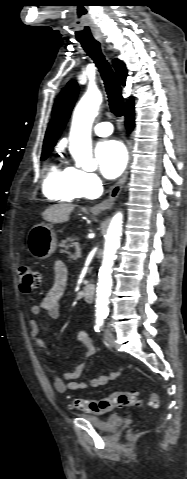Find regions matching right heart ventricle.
Wrapping results in <instances>:
<instances>
[{"mask_svg": "<svg viewBox=\"0 0 187 479\" xmlns=\"http://www.w3.org/2000/svg\"><path fill=\"white\" fill-rule=\"evenodd\" d=\"M44 195L50 200L71 202L81 194L74 182V170L68 166H60L56 162L50 163L42 182Z\"/></svg>", "mask_w": 187, "mask_h": 479, "instance_id": "right-heart-ventricle-1", "label": "right heart ventricle"}]
</instances>
